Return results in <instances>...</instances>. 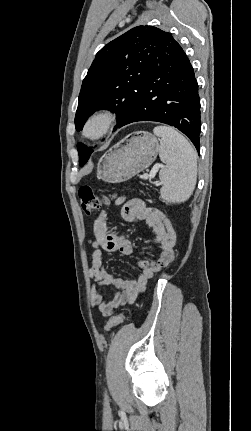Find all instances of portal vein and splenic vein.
Here are the masks:
<instances>
[{
    "label": "portal vein and splenic vein",
    "instance_id": "1",
    "mask_svg": "<svg viewBox=\"0 0 251 431\" xmlns=\"http://www.w3.org/2000/svg\"><path fill=\"white\" fill-rule=\"evenodd\" d=\"M160 167H162V165H156V166H154L153 169L151 170L150 174L149 175H144L143 178L144 179H148V178L152 179V178H154L155 175H156V173H157V171H158V169Z\"/></svg>",
    "mask_w": 251,
    "mask_h": 431
}]
</instances>
